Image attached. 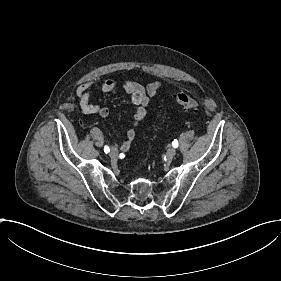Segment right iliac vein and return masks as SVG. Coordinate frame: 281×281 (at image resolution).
Instances as JSON below:
<instances>
[{
  "label": "right iliac vein",
  "mask_w": 281,
  "mask_h": 281,
  "mask_svg": "<svg viewBox=\"0 0 281 281\" xmlns=\"http://www.w3.org/2000/svg\"><path fill=\"white\" fill-rule=\"evenodd\" d=\"M111 157L116 158L119 155L118 150H116L114 147H112V152L110 153Z\"/></svg>",
  "instance_id": "right-iliac-vein-1"
}]
</instances>
